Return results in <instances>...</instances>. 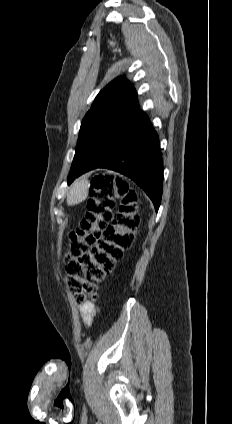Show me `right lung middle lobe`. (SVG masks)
Masks as SVG:
<instances>
[{
	"label": "right lung middle lobe",
	"mask_w": 232,
	"mask_h": 424,
	"mask_svg": "<svg viewBox=\"0 0 232 424\" xmlns=\"http://www.w3.org/2000/svg\"><path fill=\"white\" fill-rule=\"evenodd\" d=\"M133 111V108L104 107L87 112L81 123L69 178L79 174L87 160L110 133L132 120Z\"/></svg>",
	"instance_id": "obj_1"
}]
</instances>
